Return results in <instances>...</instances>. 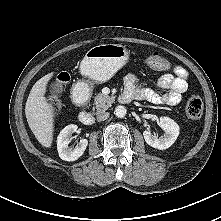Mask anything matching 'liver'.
<instances>
[{
	"label": "liver",
	"instance_id": "6515ba94",
	"mask_svg": "<svg viewBox=\"0 0 221 221\" xmlns=\"http://www.w3.org/2000/svg\"><path fill=\"white\" fill-rule=\"evenodd\" d=\"M52 76L53 73H49L33 85L25 106L28 125L38 142L46 148L52 145L54 131V109L45 97Z\"/></svg>",
	"mask_w": 221,
	"mask_h": 221
}]
</instances>
